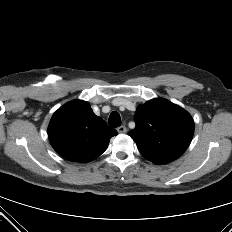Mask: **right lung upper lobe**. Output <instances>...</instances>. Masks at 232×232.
Here are the masks:
<instances>
[{
    "label": "right lung upper lobe",
    "instance_id": "1",
    "mask_svg": "<svg viewBox=\"0 0 232 232\" xmlns=\"http://www.w3.org/2000/svg\"><path fill=\"white\" fill-rule=\"evenodd\" d=\"M48 135L54 150L65 159L87 163L106 150L117 131L96 116L88 102L74 100L53 114Z\"/></svg>",
    "mask_w": 232,
    "mask_h": 232
}]
</instances>
